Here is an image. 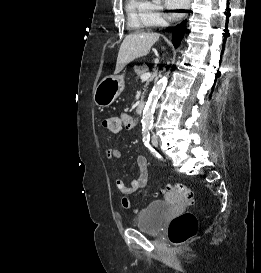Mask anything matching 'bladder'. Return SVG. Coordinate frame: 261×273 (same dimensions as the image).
I'll return each instance as SVG.
<instances>
[{
	"label": "bladder",
	"mask_w": 261,
	"mask_h": 273,
	"mask_svg": "<svg viewBox=\"0 0 261 273\" xmlns=\"http://www.w3.org/2000/svg\"><path fill=\"white\" fill-rule=\"evenodd\" d=\"M169 210V203L165 201H153L140 212L136 219V225L146 233H159Z\"/></svg>",
	"instance_id": "31cf9c89"
}]
</instances>
